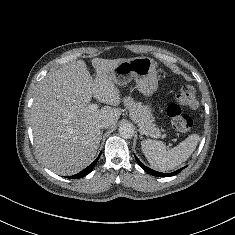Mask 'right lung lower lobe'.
Segmentation results:
<instances>
[{
  "instance_id": "right-lung-lower-lobe-1",
  "label": "right lung lower lobe",
  "mask_w": 235,
  "mask_h": 235,
  "mask_svg": "<svg viewBox=\"0 0 235 235\" xmlns=\"http://www.w3.org/2000/svg\"><path fill=\"white\" fill-rule=\"evenodd\" d=\"M100 157V154L99 156L97 157V159L91 163L87 168H85L84 170H82L80 173L76 174V175H73V176H70L68 178H71V179H77V178H81V177H84L86 176L88 173H90L92 171V169L94 168L95 164L97 163L98 159Z\"/></svg>"
}]
</instances>
